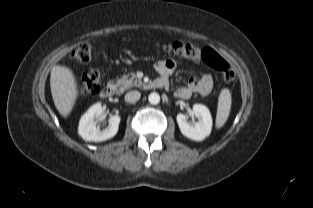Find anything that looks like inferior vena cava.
Here are the masks:
<instances>
[{
  "label": "inferior vena cava",
  "mask_w": 313,
  "mask_h": 208,
  "mask_svg": "<svg viewBox=\"0 0 313 208\" xmlns=\"http://www.w3.org/2000/svg\"><path fill=\"white\" fill-rule=\"evenodd\" d=\"M140 92L138 91H130L125 95V101L128 103H135L140 99Z\"/></svg>",
  "instance_id": "602c4592"
}]
</instances>
